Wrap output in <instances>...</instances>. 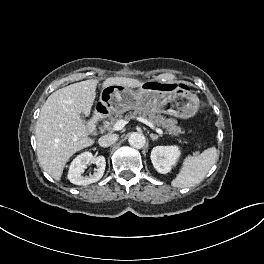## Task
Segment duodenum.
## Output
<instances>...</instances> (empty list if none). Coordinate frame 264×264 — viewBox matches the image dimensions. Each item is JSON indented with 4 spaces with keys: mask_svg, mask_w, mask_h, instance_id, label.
<instances>
[{
    "mask_svg": "<svg viewBox=\"0 0 264 264\" xmlns=\"http://www.w3.org/2000/svg\"><path fill=\"white\" fill-rule=\"evenodd\" d=\"M103 114L101 112H96L88 123V130L90 133L95 132L97 123L102 119Z\"/></svg>",
    "mask_w": 264,
    "mask_h": 264,
    "instance_id": "1",
    "label": "duodenum"
}]
</instances>
